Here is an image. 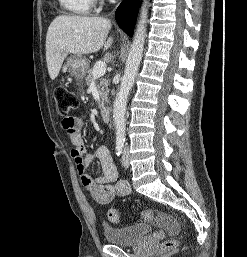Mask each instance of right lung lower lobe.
Returning <instances> with one entry per match:
<instances>
[{
	"mask_svg": "<svg viewBox=\"0 0 247 257\" xmlns=\"http://www.w3.org/2000/svg\"><path fill=\"white\" fill-rule=\"evenodd\" d=\"M138 9V0H125L119 5L115 12L117 24L129 36L133 35Z\"/></svg>",
	"mask_w": 247,
	"mask_h": 257,
	"instance_id": "obj_1",
	"label": "right lung lower lobe"
}]
</instances>
